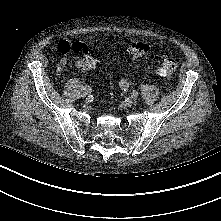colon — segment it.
I'll list each match as a JSON object with an SVG mask.
<instances>
[{
    "mask_svg": "<svg viewBox=\"0 0 221 221\" xmlns=\"http://www.w3.org/2000/svg\"><path fill=\"white\" fill-rule=\"evenodd\" d=\"M129 53L134 59L146 57L150 53V46L146 42H135L129 47ZM81 61L82 69L85 71H92L97 65V60L89 54L82 56ZM177 66L178 62L174 57L170 55H162L159 57L157 73L161 77L169 78L174 74Z\"/></svg>",
    "mask_w": 221,
    "mask_h": 221,
    "instance_id": "colon-1",
    "label": "colon"
}]
</instances>
